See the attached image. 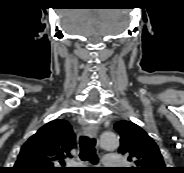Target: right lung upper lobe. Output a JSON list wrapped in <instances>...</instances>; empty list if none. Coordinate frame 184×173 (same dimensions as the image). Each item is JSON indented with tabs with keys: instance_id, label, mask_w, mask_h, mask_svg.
Segmentation results:
<instances>
[{
	"instance_id": "1",
	"label": "right lung upper lobe",
	"mask_w": 184,
	"mask_h": 173,
	"mask_svg": "<svg viewBox=\"0 0 184 173\" xmlns=\"http://www.w3.org/2000/svg\"><path fill=\"white\" fill-rule=\"evenodd\" d=\"M75 143L71 125L56 119L40 128L21 148L13 173H69L64 159Z\"/></svg>"
}]
</instances>
